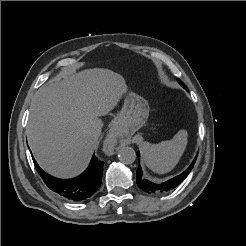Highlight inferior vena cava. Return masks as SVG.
Here are the masks:
<instances>
[{"label":"inferior vena cava","mask_w":246,"mask_h":246,"mask_svg":"<svg viewBox=\"0 0 246 246\" xmlns=\"http://www.w3.org/2000/svg\"><path fill=\"white\" fill-rule=\"evenodd\" d=\"M91 133L95 136H99L101 134V124L97 121L92 123Z\"/></svg>","instance_id":"obj_1"}]
</instances>
